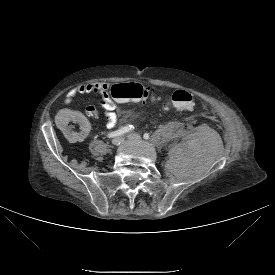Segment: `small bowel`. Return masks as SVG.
<instances>
[{
    "mask_svg": "<svg viewBox=\"0 0 275 275\" xmlns=\"http://www.w3.org/2000/svg\"><path fill=\"white\" fill-rule=\"evenodd\" d=\"M112 87V84L108 82L80 84L68 91L65 96V102L69 104L78 96L84 94L94 93L99 95V104L104 110L106 117V127L112 129L117 123L119 114L118 106L111 95ZM85 114L88 117L96 118L98 116V111L94 106H88L85 109ZM55 127L65 139L75 144L82 143L90 132V125L87 122V117L79 108H72L70 111L59 109L56 112Z\"/></svg>",
    "mask_w": 275,
    "mask_h": 275,
    "instance_id": "1",
    "label": "small bowel"
}]
</instances>
